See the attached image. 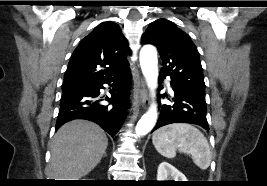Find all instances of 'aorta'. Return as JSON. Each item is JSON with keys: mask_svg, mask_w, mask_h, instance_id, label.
Returning a JSON list of instances; mask_svg holds the SVG:
<instances>
[{"mask_svg": "<svg viewBox=\"0 0 267 186\" xmlns=\"http://www.w3.org/2000/svg\"><path fill=\"white\" fill-rule=\"evenodd\" d=\"M140 66L146 82L152 92L157 88L158 59L157 51L151 45L144 46L140 51ZM157 121V105L153 103L136 125V134H148Z\"/></svg>", "mask_w": 267, "mask_h": 186, "instance_id": "aorta-1", "label": "aorta"}]
</instances>
